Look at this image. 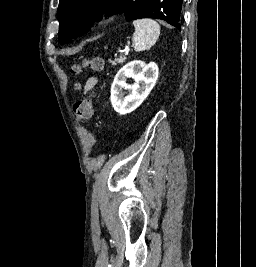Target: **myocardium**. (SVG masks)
Listing matches in <instances>:
<instances>
[{
  "label": "myocardium",
  "mask_w": 256,
  "mask_h": 267,
  "mask_svg": "<svg viewBox=\"0 0 256 267\" xmlns=\"http://www.w3.org/2000/svg\"><path fill=\"white\" fill-rule=\"evenodd\" d=\"M107 15H105V14H102V15H100L97 19H96V21H95V23H96V25H102V24H104L106 21H107Z\"/></svg>",
  "instance_id": "f54148a6"
}]
</instances>
